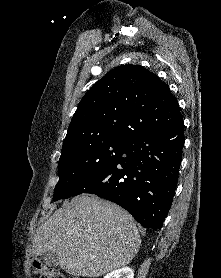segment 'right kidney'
I'll return each instance as SVG.
<instances>
[{
	"label": "right kidney",
	"instance_id": "right-kidney-1",
	"mask_svg": "<svg viewBox=\"0 0 221 278\" xmlns=\"http://www.w3.org/2000/svg\"><path fill=\"white\" fill-rule=\"evenodd\" d=\"M104 278H134V271L129 267H123L108 273Z\"/></svg>",
	"mask_w": 221,
	"mask_h": 278
}]
</instances>
